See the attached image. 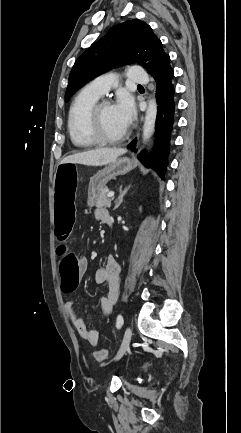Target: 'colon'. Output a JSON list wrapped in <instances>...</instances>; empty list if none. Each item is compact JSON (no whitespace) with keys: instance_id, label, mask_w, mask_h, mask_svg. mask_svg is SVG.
<instances>
[{"instance_id":"colon-1","label":"colon","mask_w":241,"mask_h":433,"mask_svg":"<svg viewBox=\"0 0 241 433\" xmlns=\"http://www.w3.org/2000/svg\"><path fill=\"white\" fill-rule=\"evenodd\" d=\"M76 160H64L58 164L55 180L52 182L54 190L53 208L55 209L54 220L56 233L62 241L60 246V265L59 275L64 277L62 289L64 292H72L77 287L79 276V261L75 254L69 252L63 242L67 235L72 233L73 221L77 216V207H74L78 165ZM98 362H104L108 359L109 354L106 350L101 349L94 353Z\"/></svg>"}]
</instances>
